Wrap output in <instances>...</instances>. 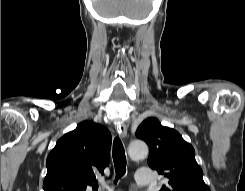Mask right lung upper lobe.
<instances>
[{"instance_id": "cb5924a9", "label": "right lung upper lobe", "mask_w": 245, "mask_h": 191, "mask_svg": "<svg viewBox=\"0 0 245 191\" xmlns=\"http://www.w3.org/2000/svg\"><path fill=\"white\" fill-rule=\"evenodd\" d=\"M110 148L111 134L105 127L81 122L48 155L44 191H86L97 186V178L109 163Z\"/></svg>"}]
</instances>
